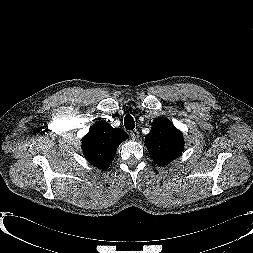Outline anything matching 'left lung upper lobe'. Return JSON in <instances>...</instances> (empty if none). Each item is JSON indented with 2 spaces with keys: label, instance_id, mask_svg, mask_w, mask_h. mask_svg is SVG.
I'll use <instances>...</instances> for the list:
<instances>
[{
  "label": "left lung upper lobe",
  "instance_id": "obj_1",
  "mask_svg": "<svg viewBox=\"0 0 253 253\" xmlns=\"http://www.w3.org/2000/svg\"><path fill=\"white\" fill-rule=\"evenodd\" d=\"M145 145L153 160L165 166L181 154L184 139L170 120L159 118L153 122L150 133L145 137Z\"/></svg>",
  "mask_w": 253,
  "mask_h": 253
}]
</instances>
